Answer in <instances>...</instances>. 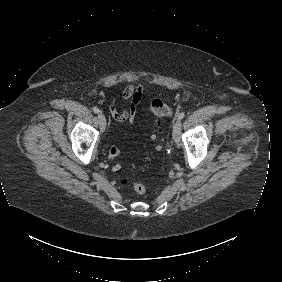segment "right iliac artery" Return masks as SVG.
Returning a JSON list of instances; mask_svg holds the SVG:
<instances>
[{
  "label": "right iliac artery",
  "instance_id": "obj_1",
  "mask_svg": "<svg viewBox=\"0 0 282 282\" xmlns=\"http://www.w3.org/2000/svg\"><path fill=\"white\" fill-rule=\"evenodd\" d=\"M92 110L95 112V113H99L100 110L97 108V107H93Z\"/></svg>",
  "mask_w": 282,
  "mask_h": 282
}]
</instances>
